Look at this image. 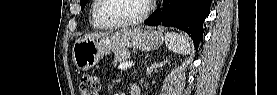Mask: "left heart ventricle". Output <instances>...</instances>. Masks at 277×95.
Segmentation results:
<instances>
[{"instance_id": "1", "label": "left heart ventricle", "mask_w": 277, "mask_h": 95, "mask_svg": "<svg viewBox=\"0 0 277 95\" xmlns=\"http://www.w3.org/2000/svg\"><path fill=\"white\" fill-rule=\"evenodd\" d=\"M142 0H106L100 14L107 19H130L137 17L144 9Z\"/></svg>"}]
</instances>
